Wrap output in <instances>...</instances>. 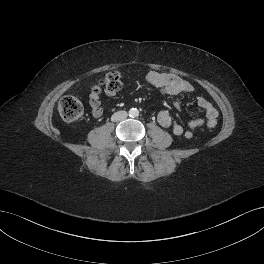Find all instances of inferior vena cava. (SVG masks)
<instances>
[{"instance_id": "obj_1", "label": "inferior vena cava", "mask_w": 264, "mask_h": 264, "mask_svg": "<svg viewBox=\"0 0 264 264\" xmlns=\"http://www.w3.org/2000/svg\"><path fill=\"white\" fill-rule=\"evenodd\" d=\"M127 116H128V114L126 111H118L112 115L111 120L113 122L122 121V120L126 119Z\"/></svg>"}]
</instances>
